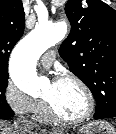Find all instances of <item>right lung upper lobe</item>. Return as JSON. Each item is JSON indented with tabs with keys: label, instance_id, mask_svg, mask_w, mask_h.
<instances>
[{
	"label": "right lung upper lobe",
	"instance_id": "obj_1",
	"mask_svg": "<svg viewBox=\"0 0 116 134\" xmlns=\"http://www.w3.org/2000/svg\"><path fill=\"white\" fill-rule=\"evenodd\" d=\"M24 21L21 0H0V74L8 71L9 55L23 35Z\"/></svg>",
	"mask_w": 116,
	"mask_h": 134
}]
</instances>
